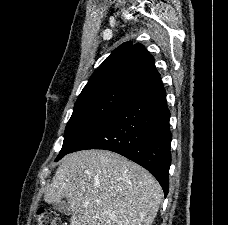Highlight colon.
I'll use <instances>...</instances> for the list:
<instances>
[{"instance_id":"colon-1","label":"colon","mask_w":228,"mask_h":225,"mask_svg":"<svg viewBox=\"0 0 228 225\" xmlns=\"http://www.w3.org/2000/svg\"><path fill=\"white\" fill-rule=\"evenodd\" d=\"M34 222L36 225H60L57 212L50 208L41 207L35 213Z\"/></svg>"}]
</instances>
